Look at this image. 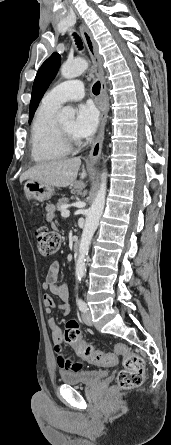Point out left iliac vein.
Returning <instances> with one entry per match:
<instances>
[{
  "label": "left iliac vein",
  "mask_w": 171,
  "mask_h": 445,
  "mask_svg": "<svg viewBox=\"0 0 171 445\" xmlns=\"http://www.w3.org/2000/svg\"><path fill=\"white\" fill-rule=\"evenodd\" d=\"M82 320L83 322L88 325L91 326L92 325V317H91V313L90 310L87 309L83 314H82Z\"/></svg>",
  "instance_id": "obj_1"
}]
</instances>
